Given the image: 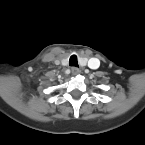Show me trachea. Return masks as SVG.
I'll list each match as a JSON object with an SVG mask.
<instances>
[{"mask_svg":"<svg viewBox=\"0 0 145 145\" xmlns=\"http://www.w3.org/2000/svg\"><path fill=\"white\" fill-rule=\"evenodd\" d=\"M69 65L74 66V67H78V61H77V56L76 55H72L70 57Z\"/></svg>","mask_w":145,"mask_h":145,"instance_id":"1","label":"trachea"}]
</instances>
